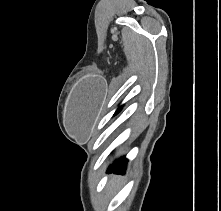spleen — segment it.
<instances>
[{"mask_svg":"<svg viewBox=\"0 0 221 211\" xmlns=\"http://www.w3.org/2000/svg\"><path fill=\"white\" fill-rule=\"evenodd\" d=\"M111 185H112V187H113V185H114V182H112V183H111Z\"/></svg>","mask_w":221,"mask_h":211,"instance_id":"1","label":"spleen"}]
</instances>
